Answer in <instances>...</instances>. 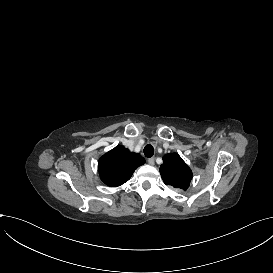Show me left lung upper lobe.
I'll use <instances>...</instances> for the list:
<instances>
[{
  "instance_id": "left-lung-upper-lobe-1",
  "label": "left lung upper lobe",
  "mask_w": 273,
  "mask_h": 273,
  "mask_svg": "<svg viewBox=\"0 0 273 273\" xmlns=\"http://www.w3.org/2000/svg\"><path fill=\"white\" fill-rule=\"evenodd\" d=\"M160 174L166 185L186 190L192 179V171L177 153L163 157Z\"/></svg>"
}]
</instances>
